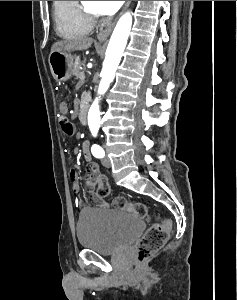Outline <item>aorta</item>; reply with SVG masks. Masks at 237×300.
Instances as JSON below:
<instances>
[{"label": "aorta", "instance_id": "1", "mask_svg": "<svg viewBox=\"0 0 237 300\" xmlns=\"http://www.w3.org/2000/svg\"><path fill=\"white\" fill-rule=\"evenodd\" d=\"M131 27L132 13H125V15L120 17L107 47L106 57L101 71L98 95H104V93H106L107 89L110 87V83H112L115 77V73L127 45ZM99 101L100 97H96L88 111L87 119L90 131H93V129L98 131L100 127Z\"/></svg>", "mask_w": 237, "mask_h": 300}]
</instances>
